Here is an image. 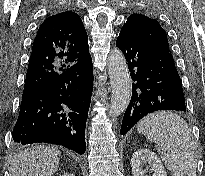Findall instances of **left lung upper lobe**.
<instances>
[{
	"label": "left lung upper lobe",
	"mask_w": 205,
	"mask_h": 176,
	"mask_svg": "<svg viewBox=\"0 0 205 176\" xmlns=\"http://www.w3.org/2000/svg\"><path fill=\"white\" fill-rule=\"evenodd\" d=\"M126 29L139 40L169 52V44L164 29L157 20L145 15L132 14L123 25Z\"/></svg>",
	"instance_id": "left-lung-upper-lobe-1"
}]
</instances>
